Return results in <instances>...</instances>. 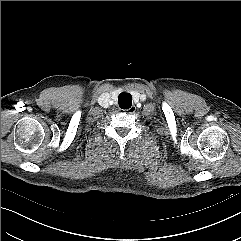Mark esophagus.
I'll return each instance as SVG.
<instances>
[{
	"label": "esophagus",
	"instance_id": "34e87169",
	"mask_svg": "<svg viewBox=\"0 0 241 241\" xmlns=\"http://www.w3.org/2000/svg\"><path fill=\"white\" fill-rule=\"evenodd\" d=\"M136 109H137L136 106H131L129 109L122 110V112L125 114H133L135 113Z\"/></svg>",
	"mask_w": 241,
	"mask_h": 241
}]
</instances>
